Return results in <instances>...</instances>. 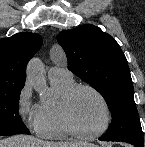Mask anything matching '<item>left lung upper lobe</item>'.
<instances>
[{"instance_id": "obj_1", "label": "left lung upper lobe", "mask_w": 145, "mask_h": 147, "mask_svg": "<svg viewBox=\"0 0 145 147\" xmlns=\"http://www.w3.org/2000/svg\"><path fill=\"white\" fill-rule=\"evenodd\" d=\"M68 59V69L105 99L112 122L107 140L143 143L134 89L126 57L118 43L99 27L85 24L57 37Z\"/></svg>"}]
</instances>
